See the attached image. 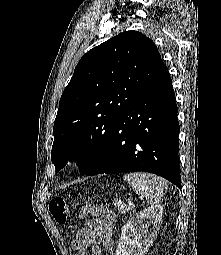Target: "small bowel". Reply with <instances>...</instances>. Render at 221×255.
I'll return each instance as SVG.
<instances>
[{"label": "small bowel", "instance_id": "1", "mask_svg": "<svg viewBox=\"0 0 221 255\" xmlns=\"http://www.w3.org/2000/svg\"><path fill=\"white\" fill-rule=\"evenodd\" d=\"M96 219L90 220L77 232L72 242L76 255H102V249L113 254L112 229L116 223L115 214L103 206H94L90 211Z\"/></svg>", "mask_w": 221, "mask_h": 255}]
</instances>
